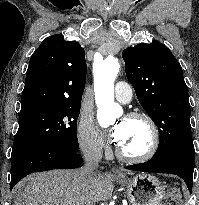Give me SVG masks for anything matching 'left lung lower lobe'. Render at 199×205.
<instances>
[{
  "label": "left lung lower lobe",
  "instance_id": "obj_1",
  "mask_svg": "<svg viewBox=\"0 0 199 205\" xmlns=\"http://www.w3.org/2000/svg\"><path fill=\"white\" fill-rule=\"evenodd\" d=\"M195 164V153L177 152L161 157L151 159L145 163L125 167L129 170L154 172V173H171L181 177L189 192H192L193 172Z\"/></svg>",
  "mask_w": 199,
  "mask_h": 205
}]
</instances>
